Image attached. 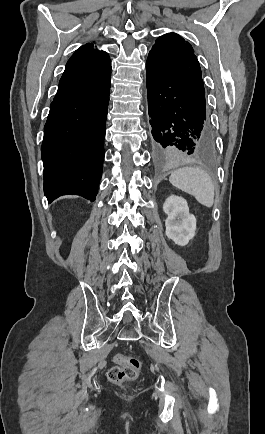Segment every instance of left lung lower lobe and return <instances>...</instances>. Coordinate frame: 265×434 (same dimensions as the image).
Instances as JSON below:
<instances>
[{"mask_svg": "<svg viewBox=\"0 0 265 434\" xmlns=\"http://www.w3.org/2000/svg\"><path fill=\"white\" fill-rule=\"evenodd\" d=\"M151 145L161 155L180 150L208 154L215 136L205 102L157 58L146 62Z\"/></svg>", "mask_w": 265, "mask_h": 434, "instance_id": "0a47b994", "label": "left lung lower lobe"}]
</instances>
